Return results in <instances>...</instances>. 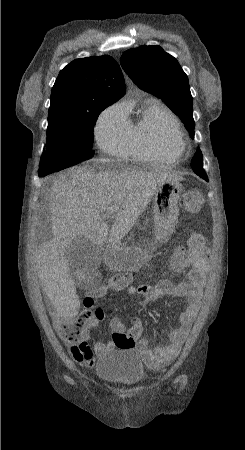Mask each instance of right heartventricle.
<instances>
[{
	"instance_id": "right-heart-ventricle-1",
	"label": "right heart ventricle",
	"mask_w": 245,
	"mask_h": 450,
	"mask_svg": "<svg viewBox=\"0 0 245 450\" xmlns=\"http://www.w3.org/2000/svg\"><path fill=\"white\" fill-rule=\"evenodd\" d=\"M125 110L129 123L127 155L136 161L174 162L178 159L159 143L157 133L161 122L170 116L175 118L164 104L154 98L147 99L135 119L130 118V108Z\"/></svg>"
}]
</instances>
